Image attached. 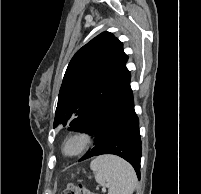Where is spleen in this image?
Returning <instances> with one entry per match:
<instances>
[{
  "label": "spleen",
  "mask_w": 201,
  "mask_h": 194,
  "mask_svg": "<svg viewBox=\"0 0 201 194\" xmlns=\"http://www.w3.org/2000/svg\"><path fill=\"white\" fill-rule=\"evenodd\" d=\"M90 168L95 172L96 182L108 187V194H132L136 188L133 167L120 157L98 156L90 163Z\"/></svg>",
  "instance_id": "spleen-1"
}]
</instances>
